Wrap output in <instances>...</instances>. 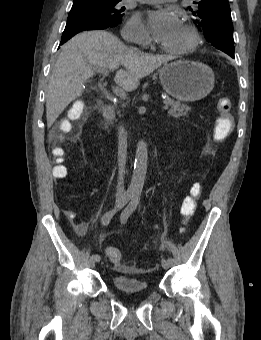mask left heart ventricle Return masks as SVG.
Listing matches in <instances>:
<instances>
[{"label": "left heart ventricle", "mask_w": 261, "mask_h": 340, "mask_svg": "<svg viewBox=\"0 0 261 340\" xmlns=\"http://www.w3.org/2000/svg\"><path fill=\"white\" fill-rule=\"evenodd\" d=\"M190 38L183 26L163 45L169 48H179L189 43Z\"/></svg>", "instance_id": "1"}]
</instances>
